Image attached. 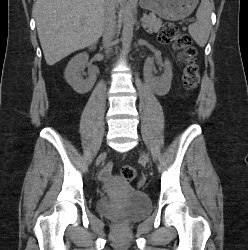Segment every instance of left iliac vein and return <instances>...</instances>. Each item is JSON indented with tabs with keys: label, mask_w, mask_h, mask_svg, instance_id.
Here are the masks:
<instances>
[{
	"label": "left iliac vein",
	"mask_w": 248,
	"mask_h": 250,
	"mask_svg": "<svg viewBox=\"0 0 248 250\" xmlns=\"http://www.w3.org/2000/svg\"><path fill=\"white\" fill-rule=\"evenodd\" d=\"M141 157L144 162L148 161L147 156L145 154H141Z\"/></svg>",
	"instance_id": "1"
}]
</instances>
